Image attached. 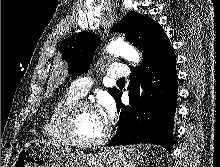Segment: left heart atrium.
Listing matches in <instances>:
<instances>
[{
    "label": "left heart atrium",
    "mask_w": 220,
    "mask_h": 167,
    "mask_svg": "<svg viewBox=\"0 0 220 167\" xmlns=\"http://www.w3.org/2000/svg\"><path fill=\"white\" fill-rule=\"evenodd\" d=\"M97 111V114L101 122L105 125L112 119L114 115V106L113 103L109 100L101 101V106Z\"/></svg>",
    "instance_id": "39dd6f15"
}]
</instances>
